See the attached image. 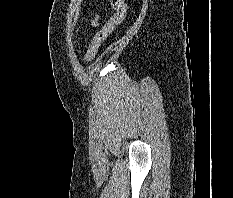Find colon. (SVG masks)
<instances>
[{
  "instance_id": "colon-1",
  "label": "colon",
  "mask_w": 233,
  "mask_h": 198,
  "mask_svg": "<svg viewBox=\"0 0 233 198\" xmlns=\"http://www.w3.org/2000/svg\"><path fill=\"white\" fill-rule=\"evenodd\" d=\"M111 5L114 9L113 16L105 23V25L94 36L85 55V60L90 62L94 59L99 49L101 48L107 37L120 25L126 17V4L124 0H111ZM96 18L92 19V24H95Z\"/></svg>"
}]
</instances>
